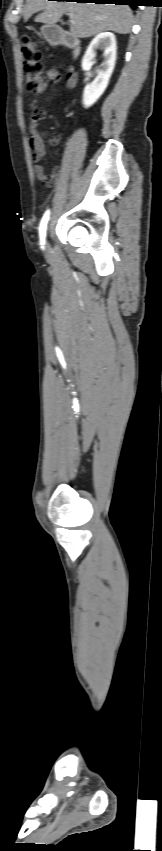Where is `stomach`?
<instances>
[{"instance_id":"stomach-1","label":"stomach","mask_w":162,"mask_h":851,"mask_svg":"<svg viewBox=\"0 0 162 851\" xmlns=\"http://www.w3.org/2000/svg\"><path fill=\"white\" fill-rule=\"evenodd\" d=\"M58 32L59 29L53 25H45L41 28L42 35L49 41L54 40L57 37Z\"/></svg>"}]
</instances>
